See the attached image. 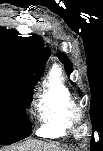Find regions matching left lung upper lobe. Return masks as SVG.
Instances as JSON below:
<instances>
[{"instance_id":"obj_1","label":"left lung upper lobe","mask_w":103,"mask_h":151,"mask_svg":"<svg viewBox=\"0 0 103 151\" xmlns=\"http://www.w3.org/2000/svg\"><path fill=\"white\" fill-rule=\"evenodd\" d=\"M57 56L59 57V60L64 64L67 74H70L73 70L72 63L70 62V60L62 52H58Z\"/></svg>"}]
</instances>
